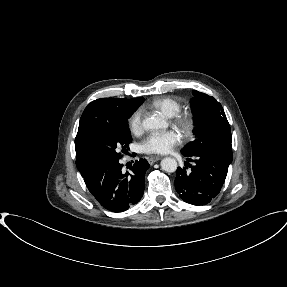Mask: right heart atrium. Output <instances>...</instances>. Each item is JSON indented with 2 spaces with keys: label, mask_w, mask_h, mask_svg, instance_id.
<instances>
[{
  "label": "right heart atrium",
  "mask_w": 287,
  "mask_h": 287,
  "mask_svg": "<svg viewBox=\"0 0 287 287\" xmlns=\"http://www.w3.org/2000/svg\"><path fill=\"white\" fill-rule=\"evenodd\" d=\"M128 125H129L130 130L135 134H138L142 131L143 112L141 109H137L131 114L128 120Z\"/></svg>",
  "instance_id": "d8ad5b80"
}]
</instances>
